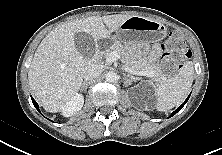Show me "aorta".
I'll list each match as a JSON object with an SVG mask.
<instances>
[{"label": "aorta", "instance_id": "1", "mask_svg": "<svg viewBox=\"0 0 222 155\" xmlns=\"http://www.w3.org/2000/svg\"><path fill=\"white\" fill-rule=\"evenodd\" d=\"M105 79L107 82H110V83L116 82L118 80V75L113 71H109L107 72Z\"/></svg>", "mask_w": 222, "mask_h": 155}]
</instances>
